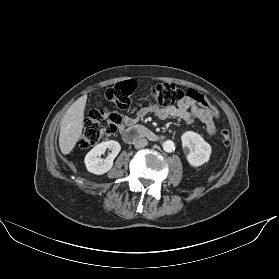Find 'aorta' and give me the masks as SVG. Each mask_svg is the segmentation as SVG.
<instances>
[{"label": "aorta", "mask_w": 279, "mask_h": 279, "mask_svg": "<svg viewBox=\"0 0 279 279\" xmlns=\"http://www.w3.org/2000/svg\"><path fill=\"white\" fill-rule=\"evenodd\" d=\"M163 150L166 152H172L175 149L174 142L171 140H167L163 143Z\"/></svg>", "instance_id": "aorta-1"}]
</instances>
